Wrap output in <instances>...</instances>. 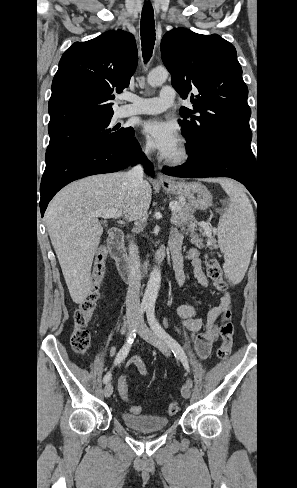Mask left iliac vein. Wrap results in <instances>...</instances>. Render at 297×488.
I'll return each instance as SVG.
<instances>
[{
    "label": "left iliac vein",
    "instance_id": "obj_1",
    "mask_svg": "<svg viewBox=\"0 0 297 488\" xmlns=\"http://www.w3.org/2000/svg\"><path fill=\"white\" fill-rule=\"evenodd\" d=\"M138 334L147 342L157 347L165 356L170 355L171 350L167 343L153 332L144 321H141L138 326ZM191 387V381H188L182 386L181 393L185 399H188L191 396Z\"/></svg>",
    "mask_w": 297,
    "mask_h": 488
}]
</instances>
